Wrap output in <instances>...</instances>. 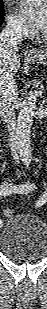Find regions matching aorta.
Wrapping results in <instances>:
<instances>
[{"label":"aorta","instance_id":"1","mask_svg":"<svg viewBox=\"0 0 47 309\" xmlns=\"http://www.w3.org/2000/svg\"><path fill=\"white\" fill-rule=\"evenodd\" d=\"M37 109V96L29 92L23 99L16 124V146L21 157H31V127Z\"/></svg>","mask_w":47,"mask_h":309}]
</instances>
